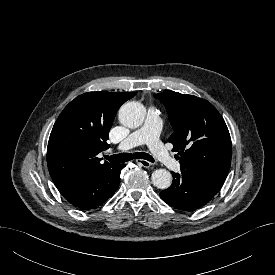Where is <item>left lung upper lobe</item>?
I'll list each match as a JSON object with an SVG mask.
<instances>
[{"mask_svg":"<svg viewBox=\"0 0 275 275\" xmlns=\"http://www.w3.org/2000/svg\"><path fill=\"white\" fill-rule=\"evenodd\" d=\"M167 109L174 130L169 138L181 170L224 183L231 165V138L226 123L208 101L165 91L155 95Z\"/></svg>","mask_w":275,"mask_h":275,"instance_id":"1","label":"left lung upper lobe"}]
</instances>
